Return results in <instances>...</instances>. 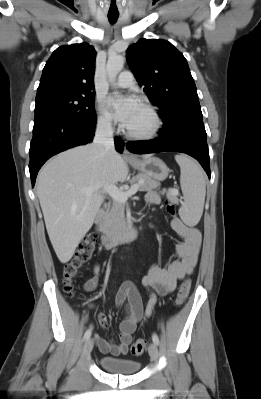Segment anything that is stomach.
<instances>
[{
	"mask_svg": "<svg viewBox=\"0 0 261 399\" xmlns=\"http://www.w3.org/2000/svg\"><path fill=\"white\" fill-rule=\"evenodd\" d=\"M130 163L142 174L158 181L165 180L169 174V168L167 167V165L157 157L136 159L134 161H131Z\"/></svg>",
	"mask_w": 261,
	"mask_h": 399,
	"instance_id": "obj_1",
	"label": "stomach"
}]
</instances>
